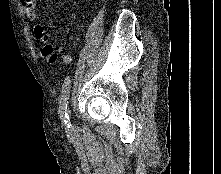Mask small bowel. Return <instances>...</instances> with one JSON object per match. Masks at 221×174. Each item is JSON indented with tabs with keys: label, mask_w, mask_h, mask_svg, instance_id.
<instances>
[{
	"label": "small bowel",
	"mask_w": 221,
	"mask_h": 174,
	"mask_svg": "<svg viewBox=\"0 0 221 174\" xmlns=\"http://www.w3.org/2000/svg\"><path fill=\"white\" fill-rule=\"evenodd\" d=\"M22 2L27 18L31 21H36L38 19L36 0H22ZM34 30L37 38H39L43 43L42 56L47 63L52 64L56 62L58 58H60L65 64L71 63V55L65 53L62 48H58L57 52L55 51L53 44L49 41V38L41 25L35 26ZM68 33L69 30L66 29L65 31H63L62 36H67Z\"/></svg>",
	"instance_id": "obj_1"
}]
</instances>
